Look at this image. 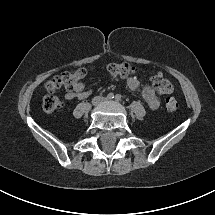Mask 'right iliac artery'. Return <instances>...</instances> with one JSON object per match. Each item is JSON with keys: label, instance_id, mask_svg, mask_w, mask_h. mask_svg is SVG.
Wrapping results in <instances>:
<instances>
[{"label": "right iliac artery", "instance_id": "obj_1", "mask_svg": "<svg viewBox=\"0 0 215 215\" xmlns=\"http://www.w3.org/2000/svg\"><path fill=\"white\" fill-rule=\"evenodd\" d=\"M114 98V94L113 93H109L108 95H107V99L108 100H112Z\"/></svg>", "mask_w": 215, "mask_h": 215}]
</instances>
